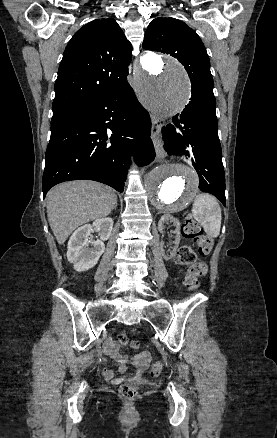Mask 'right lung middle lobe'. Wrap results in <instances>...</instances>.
<instances>
[{
    "label": "right lung middle lobe",
    "mask_w": 277,
    "mask_h": 438,
    "mask_svg": "<svg viewBox=\"0 0 277 438\" xmlns=\"http://www.w3.org/2000/svg\"><path fill=\"white\" fill-rule=\"evenodd\" d=\"M70 112H71V110H67V111H53V117L51 119V124L54 123L55 121H57L58 119H60L61 117H63L64 115H67Z\"/></svg>",
    "instance_id": "dd1d6c3e"
}]
</instances>
